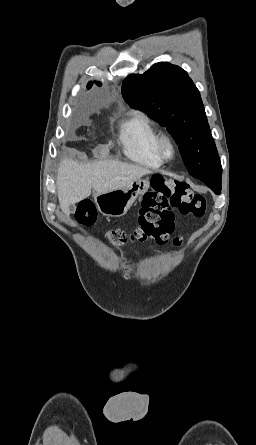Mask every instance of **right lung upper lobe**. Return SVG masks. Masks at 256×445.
I'll list each match as a JSON object with an SVG mask.
<instances>
[{"mask_svg": "<svg viewBox=\"0 0 256 445\" xmlns=\"http://www.w3.org/2000/svg\"><path fill=\"white\" fill-rule=\"evenodd\" d=\"M97 85H101L99 82H95ZM92 85H93V82L91 81V82H89L88 84H87V89H90L91 87H92Z\"/></svg>", "mask_w": 256, "mask_h": 445, "instance_id": "1", "label": "right lung upper lobe"}]
</instances>
